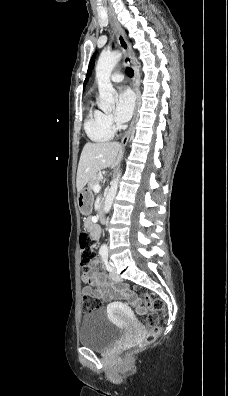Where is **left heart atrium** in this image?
<instances>
[{
    "instance_id": "left-heart-atrium-1",
    "label": "left heart atrium",
    "mask_w": 228,
    "mask_h": 396,
    "mask_svg": "<svg viewBox=\"0 0 228 396\" xmlns=\"http://www.w3.org/2000/svg\"><path fill=\"white\" fill-rule=\"evenodd\" d=\"M135 105V97L131 90L121 89L118 93L117 106H116V118L120 122H127L133 113Z\"/></svg>"
}]
</instances>
